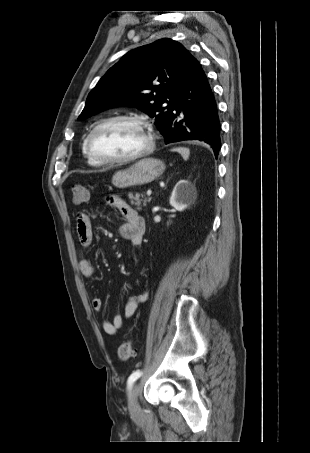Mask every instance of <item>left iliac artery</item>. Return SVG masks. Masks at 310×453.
<instances>
[{
  "label": "left iliac artery",
  "mask_w": 310,
  "mask_h": 453,
  "mask_svg": "<svg viewBox=\"0 0 310 453\" xmlns=\"http://www.w3.org/2000/svg\"><path fill=\"white\" fill-rule=\"evenodd\" d=\"M142 372L140 370L134 371L128 378L127 387L131 389L134 382L141 376Z\"/></svg>",
  "instance_id": "obj_1"
}]
</instances>
